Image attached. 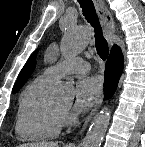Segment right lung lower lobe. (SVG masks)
<instances>
[{
  "label": "right lung lower lobe",
  "mask_w": 145,
  "mask_h": 147,
  "mask_svg": "<svg viewBox=\"0 0 145 147\" xmlns=\"http://www.w3.org/2000/svg\"><path fill=\"white\" fill-rule=\"evenodd\" d=\"M123 71V54L119 46L114 45L106 62L104 78V95L111 98Z\"/></svg>",
  "instance_id": "right-lung-lower-lobe-1"
}]
</instances>
